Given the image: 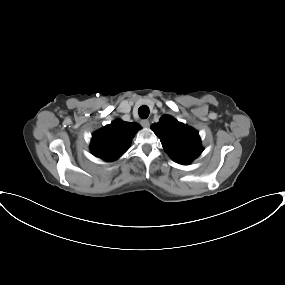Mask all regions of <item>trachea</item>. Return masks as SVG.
Masks as SVG:
<instances>
[{
    "label": "trachea",
    "mask_w": 285,
    "mask_h": 285,
    "mask_svg": "<svg viewBox=\"0 0 285 285\" xmlns=\"http://www.w3.org/2000/svg\"><path fill=\"white\" fill-rule=\"evenodd\" d=\"M138 114H139L140 118L146 119L149 116V108L145 105L141 106L138 109Z\"/></svg>",
    "instance_id": "3493384b"
}]
</instances>
